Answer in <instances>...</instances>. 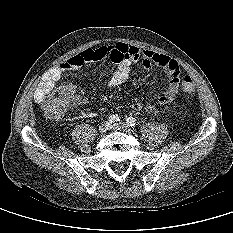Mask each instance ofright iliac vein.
<instances>
[{"label": "right iliac vein", "instance_id": "1", "mask_svg": "<svg viewBox=\"0 0 233 233\" xmlns=\"http://www.w3.org/2000/svg\"><path fill=\"white\" fill-rule=\"evenodd\" d=\"M111 127V123L110 122H103L100 126H99V132L100 133H105L107 130H109Z\"/></svg>", "mask_w": 233, "mask_h": 233}]
</instances>
